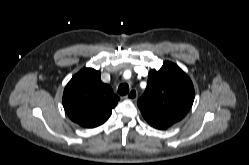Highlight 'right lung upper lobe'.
<instances>
[{
    "label": "right lung upper lobe",
    "instance_id": "1",
    "mask_svg": "<svg viewBox=\"0 0 249 165\" xmlns=\"http://www.w3.org/2000/svg\"><path fill=\"white\" fill-rule=\"evenodd\" d=\"M119 97L100 79V72L84 68L64 89L63 106L69 118L85 128L103 124L117 105Z\"/></svg>",
    "mask_w": 249,
    "mask_h": 165
}]
</instances>
